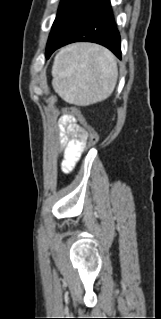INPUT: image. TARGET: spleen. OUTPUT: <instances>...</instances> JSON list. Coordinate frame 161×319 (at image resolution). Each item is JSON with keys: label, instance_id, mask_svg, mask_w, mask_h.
<instances>
[{"label": "spleen", "instance_id": "obj_1", "mask_svg": "<svg viewBox=\"0 0 161 319\" xmlns=\"http://www.w3.org/2000/svg\"><path fill=\"white\" fill-rule=\"evenodd\" d=\"M52 85L66 102L87 106L107 99L113 92L118 69L114 55L94 44H73L55 57Z\"/></svg>", "mask_w": 161, "mask_h": 319}]
</instances>
